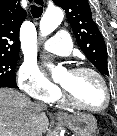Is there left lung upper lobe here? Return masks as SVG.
<instances>
[{
	"instance_id": "left-lung-upper-lobe-1",
	"label": "left lung upper lobe",
	"mask_w": 117,
	"mask_h": 136,
	"mask_svg": "<svg viewBox=\"0 0 117 136\" xmlns=\"http://www.w3.org/2000/svg\"><path fill=\"white\" fill-rule=\"evenodd\" d=\"M66 11L77 43L88 60L103 75H108L107 48L87 0H53Z\"/></svg>"
}]
</instances>
